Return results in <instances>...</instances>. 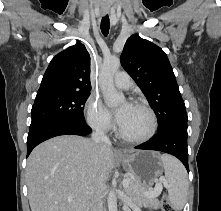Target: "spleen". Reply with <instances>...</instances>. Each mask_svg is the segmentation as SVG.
Listing matches in <instances>:
<instances>
[{"label":"spleen","mask_w":221,"mask_h":211,"mask_svg":"<svg viewBox=\"0 0 221 211\" xmlns=\"http://www.w3.org/2000/svg\"><path fill=\"white\" fill-rule=\"evenodd\" d=\"M166 181L169 184L168 200L175 210H182L188 194V178L184 166L173 156H160Z\"/></svg>","instance_id":"1"}]
</instances>
